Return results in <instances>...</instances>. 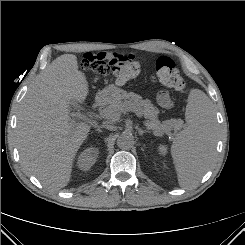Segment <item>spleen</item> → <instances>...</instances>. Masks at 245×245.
Wrapping results in <instances>:
<instances>
[{"mask_svg": "<svg viewBox=\"0 0 245 245\" xmlns=\"http://www.w3.org/2000/svg\"><path fill=\"white\" fill-rule=\"evenodd\" d=\"M186 126L177 134L171 154L179 185H195L208 170L216 147L215 114L209 97L199 89H192L186 105ZM165 155L167 148L158 147Z\"/></svg>", "mask_w": 245, "mask_h": 245, "instance_id": "3e777b00", "label": "spleen"}]
</instances>
